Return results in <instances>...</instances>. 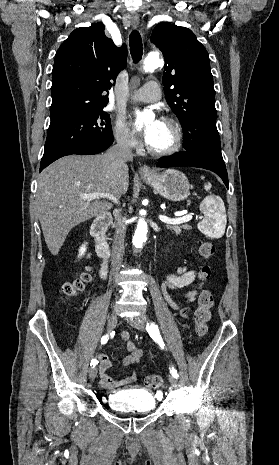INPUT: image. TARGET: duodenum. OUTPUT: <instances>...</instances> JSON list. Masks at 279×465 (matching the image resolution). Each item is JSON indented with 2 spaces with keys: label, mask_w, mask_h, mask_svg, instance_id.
<instances>
[{
  "label": "duodenum",
  "mask_w": 279,
  "mask_h": 465,
  "mask_svg": "<svg viewBox=\"0 0 279 465\" xmlns=\"http://www.w3.org/2000/svg\"><path fill=\"white\" fill-rule=\"evenodd\" d=\"M111 220V214L106 212L97 217L91 226V235L95 240V250L98 257L102 259L100 272L103 278L107 275L108 258L110 256V248L105 233Z\"/></svg>",
  "instance_id": "duodenum-1"
}]
</instances>
